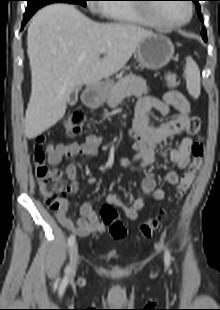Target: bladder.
Instances as JSON below:
<instances>
[{"instance_id":"31cf9c89","label":"bladder","mask_w":220,"mask_h":310,"mask_svg":"<svg viewBox=\"0 0 220 310\" xmlns=\"http://www.w3.org/2000/svg\"><path fill=\"white\" fill-rule=\"evenodd\" d=\"M108 256L109 257H114L115 255L110 253V254H108Z\"/></svg>"}]
</instances>
